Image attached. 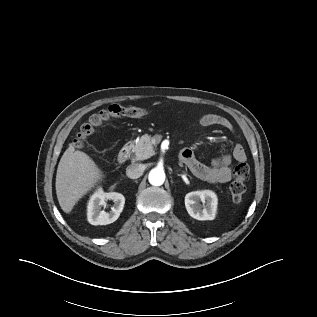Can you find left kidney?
Instances as JSON below:
<instances>
[{"label": "left kidney", "instance_id": "1", "mask_svg": "<svg viewBox=\"0 0 317 317\" xmlns=\"http://www.w3.org/2000/svg\"><path fill=\"white\" fill-rule=\"evenodd\" d=\"M185 207L188 214L197 220H213L217 211V196L211 190L190 192L185 196Z\"/></svg>", "mask_w": 317, "mask_h": 317}]
</instances>
